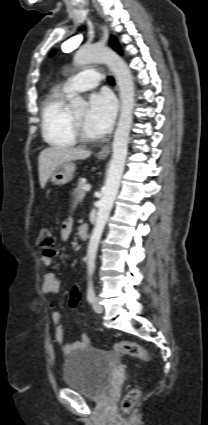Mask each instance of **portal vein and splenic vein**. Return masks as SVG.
Returning a JSON list of instances; mask_svg holds the SVG:
<instances>
[{
	"label": "portal vein and splenic vein",
	"instance_id": "obj_1",
	"mask_svg": "<svg viewBox=\"0 0 208 425\" xmlns=\"http://www.w3.org/2000/svg\"><path fill=\"white\" fill-rule=\"evenodd\" d=\"M83 189H84V191L88 192V191L91 190V185L90 184H87V185L84 186Z\"/></svg>",
	"mask_w": 208,
	"mask_h": 425
}]
</instances>
